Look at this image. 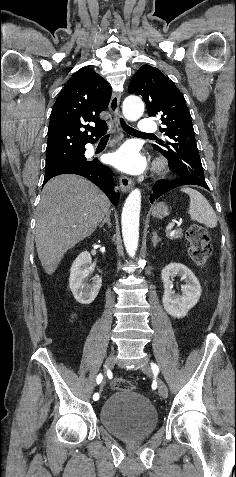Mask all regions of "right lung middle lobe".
Listing matches in <instances>:
<instances>
[{
  "instance_id": "obj_1",
  "label": "right lung middle lobe",
  "mask_w": 236,
  "mask_h": 477,
  "mask_svg": "<svg viewBox=\"0 0 236 477\" xmlns=\"http://www.w3.org/2000/svg\"><path fill=\"white\" fill-rule=\"evenodd\" d=\"M83 162H86V158L84 156V151L83 152H80V153H77L69 158H66L62 161H60L57 166H61V165H67V164H76V163H83ZM47 168H52L51 166L49 165H46V169Z\"/></svg>"
}]
</instances>
